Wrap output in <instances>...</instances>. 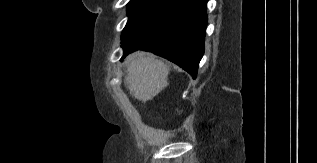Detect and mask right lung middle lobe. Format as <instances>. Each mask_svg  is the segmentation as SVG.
I'll use <instances>...</instances> for the list:
<instances>
[{
    "mask_svg": "<svg viewBox=\"0 0 317 163\" xmlns=\"http://www.w3.org/2000/svg\"><path fill=\"white\" fill-rule=\"evenodd\" d=\"M176 1L174 0H130L128 3V22L122 39L144 29L162 16Z\"/></svg>",
    "mask_w": 317,
    "mask_h": 163,
    "instance_id": "right-lung-middle-lobe-1",
    "label": "right lung middle lobe"
}]
</instances>
